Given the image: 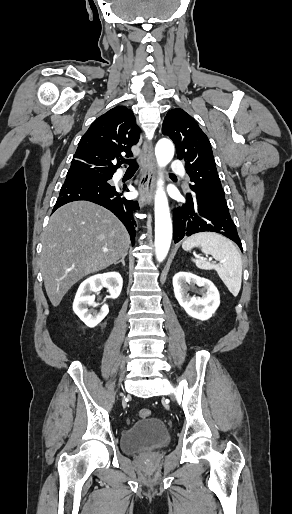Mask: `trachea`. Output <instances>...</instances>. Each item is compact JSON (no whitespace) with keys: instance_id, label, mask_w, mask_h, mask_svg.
I'll list each match as a JSON object with an SVG mask.
<instances>
[{"instance_id":"obj_1","label":"trachea","mask_w":292,"mask_h":514,"mask_svg":"<svg viewBox=\"0 0 292 514\" xmlns=\"http://www.w3.org/2000/svg\"><path fill=\"white\" fill-rule=\"evenodd\" d=\"M122 161L124 163H127L129 164V167L127 170H137L138 169V164L135 160H132V159H129V160H126V159H122Z\"/></svg>"}]
</instances>
